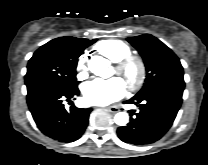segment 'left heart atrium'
I'll return each mask as SVG.
<instances>
[{
    "label": "left heart atrium",
    "instance_id": "obj_1",
    "mask_svg": "<svg viewBox=\"0 0 208 165\" xmlns=\"http://www.w3.org/2000/svg\"><path fill=\"white\" fill-rule=\"evenodd\" d=\"M125 89V83L121 78L95 79L84 85L83 95L87 103L105 106L122 98Z\"/></svg>",
    "mask_w": 208,
    "mask_h": 165
}]
</instances>
